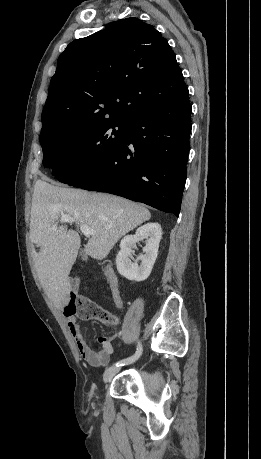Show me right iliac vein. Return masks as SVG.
Wrapping results in <instances>:
<instances>
[{
  "label": "right iliac vein",
  "instance_id": "1",
  "mask_svg": "<svg viewBox=\"0 0 261 459\" xmlns=\"http://www.w3.org/2000/svg\"><path fill=\"white\" fill-rule=\"evenodd\" d=\"M120 371V367L113 366L108 368L103 375V381L109 382L118 372Z\"/></svg>",
  "mask_w": 261,
  "mask_h": 459
}]
</instances>
